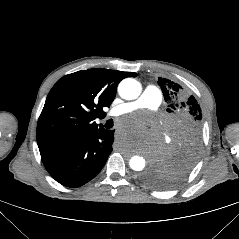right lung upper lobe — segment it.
<instances>
[{
  "label": "right lung upper lobe",
  "instance_id": "cb5924a9",
  "mask_svg": "<svg viewBox=\"0 0 239 239\" xmlns=\"http://www.w3.org/2000/svg\"><path fill=\"white\" fill-rule=\"evenodd\" d=\"M136 73L93 68L62 77L49 92L37 124L40 153L73 142L102 127L93 120L105 115L119 82Z\"/></svg>",
  "mask_w": 239,
  "mask_h": 239
}]
</instances>
